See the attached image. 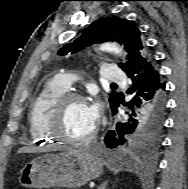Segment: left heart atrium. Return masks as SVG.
Masks as SVG:
<instances>
[{
    "instance_id": "obj_1",
    "label": "left heart atrium",
    "mask_w": 188,
    "mask_h": 189,
    "mask_svg": "<svg viewBox=\"0 0 188 189\" xmlns=\"http://www.w3.org/2000/svg\"><path fill=\"white\" fill-rule=\"evenodd\" d=\"M89 115L92 121L96 124L100 119L101 106L98 101H94L88 105Z\"/></svg>"
}]
</instances>
